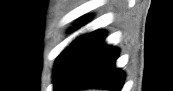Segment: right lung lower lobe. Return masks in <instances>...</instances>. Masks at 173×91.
<instances>
[{
	"label": "right lung lower lobe",
	"mask_w": 173,
	"mask_h": 91,
	"mask_svg": "<svg viewBox=\"0 0 173 91\" xmlns=\"http://www.w3.org/2000/svg\"><path fill=\"white\" fill-rule=\"evenodd\" d=\"M104 38V32L95 31L72 42L56 67L54 91L121 90L125 74L115 68L118 50L106 45Z\"/></svg>",
	"instance_id": "right-lung-lower-lobe-1"
}]
</instances>
